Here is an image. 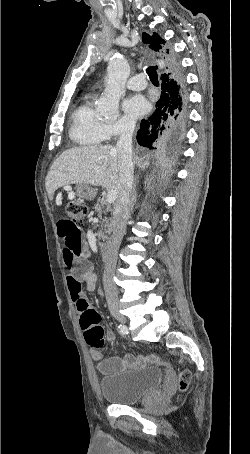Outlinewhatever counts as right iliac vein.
Returning a JSON list of instances; mask_svg holds the SVG:
<instances>
[{"mask_svg":"<svg viewBox=\"0 0 250 454\" xmlns=\"http://www.w3.org/2000/svg\"><path fill=\"white\" fill-rule=\"evenodd\" d=\"M111 313L120 323H126L125 317L119 313L118 308H112Z\"/></svg>","mask_w":250,"mask_h":454,"instance_id":"obj_1","label":"right iliac vein"}]
</instances>
